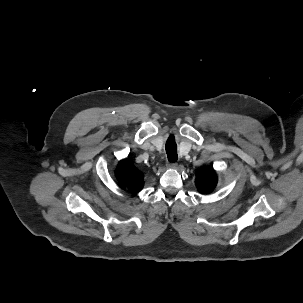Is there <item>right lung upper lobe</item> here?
<instances>
[{
    "mask_svg": "<svg viewBox=\"0 0 303 303\" xmlns=\"http://www.w3.org/2000/svg\"><path fill=\"white\" fill-rule=\"evenodd\" d=\"M115 175L119 183L129 190L133 192L142 190L144 185L143 174L134 166L130 159H124L119 162Z\"/></svg>",
    "mask_w": 303,
    "mask_h": 303,
    "instance_id": "obj_1",
    "label": "right lung upper lobe"
}]
</instances>
